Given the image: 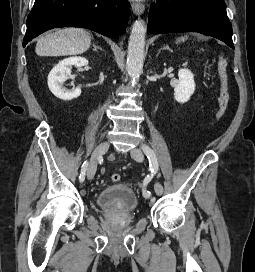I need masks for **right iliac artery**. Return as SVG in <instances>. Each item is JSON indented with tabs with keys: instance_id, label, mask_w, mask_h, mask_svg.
I'll return each mask as SVG.
<instances>
[{
	"instance_id": "obj_1",
	"label": "right iliac artery",
	"mask_w": 255,
	"mask_h": 272,
	"mask_svg": "<svg viewBox=\"0 0 255 272\" xmlns=\"http://www.w3.org/2000/svg\"><path fill=\"white\" fill-rule=\"evenodd\" d=\"M89 161H84L81 167V173L79 176V181L83 182L85 180L86 170L88 169Z\"/></svg>"
}]
</instances>
